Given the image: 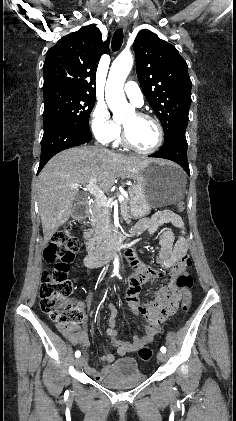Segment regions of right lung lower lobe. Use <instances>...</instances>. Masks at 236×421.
Segmentation results:
<instances>
[{
    "label": "right lung lower lobe",
    "instance_id": "98d812e1",
    "mask_svg": "<svg viewBox=\"0 0 236 421\" xmlns=\"http://www.w3.org/2000/svg\"><path fill=\"white\" fill-rule=\"evenodd\" d=\"M92 134L58 126L44 133L41 141V156L38 173L55 154L62 150L88 143Z\"/></svg>",
    "mask_w": 236,
    "mask_h": 421
}]
</instances>
